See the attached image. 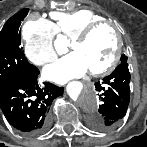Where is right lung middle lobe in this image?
Returning <instances> with one entry per match:
<instances>
[{"label": "right lung middle lobe", "mask_w": 147, "mask_h": 147, "mask_svg": "<svg viewBox=\"0 0 147 147\" xmlns=\"http://www.w3.org/2000/svg\"><path fill=\"white\" fill-rule=\"evenodd\" d=\"M28 11L23 9L16 13L0 32V84L37 69L27 61L20 47V26Z\"/></svg>", "instance_id": "dd1d6c3e"}]
</instances>
